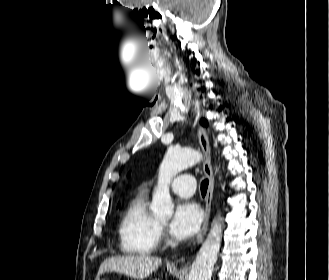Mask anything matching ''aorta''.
<instances>
[{
    "label": "aorta",
    "mask_w": 329,
    "mask_h": 280,
    "mask_svg": "<svg viewBox=\"0 0 329 280\" xmlns=\"http://www.w3.org/2000/svg\"><path fill=\"white\" fill-rule=\"evenodd\" d=\"M202 159L194 149L170 147L159 168L157 188L153 195L151 210L160 218H170L174 211L169 185L182 170L197 164ZM222 240L221 217L214 219L210 231L192 264L189 280H211Z\"/></svg>",
    "instance_id": "aorta-1"
}]
</instances>
